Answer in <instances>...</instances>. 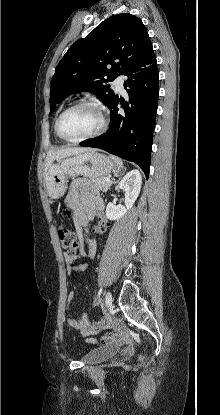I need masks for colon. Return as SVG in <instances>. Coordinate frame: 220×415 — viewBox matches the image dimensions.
<instances>
[{
	"mask_svg": "<svg viewBox=\"0 0 220 415\" xmlns=\"http://www.w3.org/2000/svg\"><path fill=\"white\" fill-rule=\"evenodd\" d=\"M58 237L62 247L66 250L68 259L70 260V266L74 269V261L78 257V242L74 233L65 225L58 227Z\"/></svg>",
	"mask_w": 220,
	"mask_h": 415,
	"instance_id": "5ec220e1",
	"label": "colon"
}]
</instances>
